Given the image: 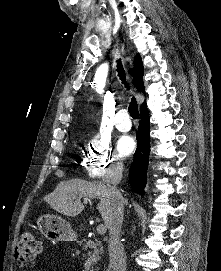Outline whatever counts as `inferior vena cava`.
Segmentation results:
<instances>
[{
	"label": "inferior vena cava",
	"instance_id": "1",
	"mask_svg": "<svg viewBox=\"0 0 221 271\" xmlns=\"http://www.w3.org/2000/svg\"><path fill=\"white\" fill-rule=\"evenodd\" d=\"M115 167L118 171H123V163H116ZM103 181L106 183L107 191H110L112 197H114L113 213L109 225H107L109 229L108 251L110 267H112V271H126V255L120 241L125 199L119 189H117V181L115 179H111V181L103 179Z\"/></svg>",
	"mask_w": 221,
	"mask_h": 271
}]
</instances>
